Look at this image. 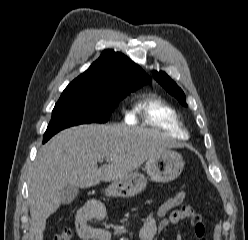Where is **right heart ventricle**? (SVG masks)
Here are the masks:
<instances>
[{
	"instance_id": "obj_1",
	"label": "right heart ventricle",
	"mask_w": 248,
	"mask_h": 240,
	"mask_svg": "<svg viewBox=\"0 0 248 240\" xmlns=\"http://www.w3.org/2000/svg\"><path fill=\"white\" fill-rule=\"evenodd\" d=\"M140 115L146 125L160 128L174 138L186 139L188 132L182 125L176 110L154 97H147L137 101L132 110V119Z\"/></svg>"
}]
</instances>
